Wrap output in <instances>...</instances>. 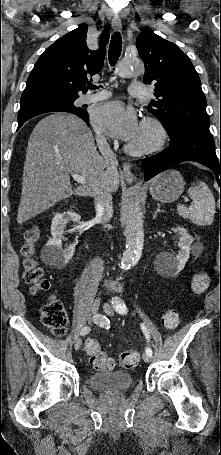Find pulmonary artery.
<instances>
[{"label":"pulmonary artery","mask_w":221,"mask_h":455,"mask_svg":"<svg viewBox=\"0 0 221 455\" xmlns=\"http://www.w3.org/2000/svg\"><path fill=\"white\" fill-rule=\"evenodd\" d=\"M128 92L132 96L143 97L146 95L147 91L145 86L142 83H132L128 88ZM110 97V93L106 90H99L96 93L84 95L81 97V103H94L101 100H105Z\"/></svg>","instance_id":"e3ab8cb5"}]
</instances>
